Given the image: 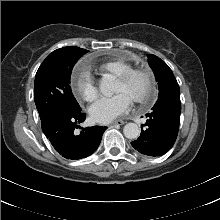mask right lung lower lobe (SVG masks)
<instances>
[{"label":"right lung lower lobe","instance_id":"1","mask_svg":"<svg viewBox=\"0 0 220 220\" xmlns=\"http://www.w3.org/2000/svg\"><path fill=\"white\" fill-rule=\"evenodd\" d=\"M86 118L82 112L61 113L42 123V129L55 150L67 159H81L90 156L98 148L102 134L107 127L79 126ZM82 129L75 135L76 129Z\"/></svg>","mask_w":220,"mask_h":220}]
</instances>
